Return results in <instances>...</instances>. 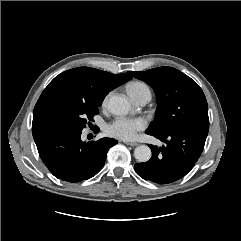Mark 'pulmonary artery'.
Masks as SVG:
<instances>
[{"label": "pulmonary artery", "instance_id": "pulmonary-artery-1", "mask_svg": "<svg viewBox=\"0 0 241 241\" xmlns=\"http://www.w3.org/2000/svg\"><path fill=\"white\" fill-rule=\"evenodd\" d=\"M151 99V94L149 93H144L136 96L133 98L134 102L138 105H145L147 104Z\"/></svg>", "mask_w": 241, "mask_h": 241}]
</instances>
